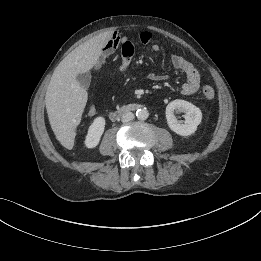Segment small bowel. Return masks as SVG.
<instances>
[{"label":"small bowel","instance_id":"small-bowel-1","mask_svg":"<svg viewBox=\"0 0 261 261\" xmlns=\"http://www.w3.org/2000/svg\"><path fill=\"white\" fill-rule=\"evenodd\" d=\"M139 42L145 47H150L154 52H159L161 50V47L158 44L153 43V36L149 31H142L139 34ZM118 48H120L121 51L119 72L124 73L130 66L136 49V45L132 40L116 34L112 35L103 49L101 60L104 61ZM170 62L174 70L180 71L186 76V82L183 83L181 87V93L186 96L197 93L200 88V73L193 64L179 54H173L170 58ZM150 78L154 81H163L168 79V75L152 73ZM95 112L96 109L91 107L89 114L94 115Z\"/></svg>","mask_w":261,"mask_h":261}]
</instances>
